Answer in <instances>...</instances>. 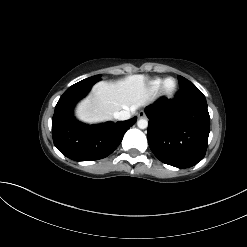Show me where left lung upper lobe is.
Returning <instances> with one entry per match:
<instances>
[{
  "label": "left lung upper lobe",
  "instance_id": "obj_1",
  "mask_svg": "<svg viewBox=\"0 0 247 247\" xmlns=\"http://www.w3.org/2000/svg\"><path fill=\"white\" fill-rule=\"evenodd\" d=\"M178 80H179V85H180L181 88L184 87V86L192 84L189 80H187L186 78H184L182 76H178Z\"/></svg>",
  "mask_w": 247,
  "mask_h": 247
}]
</instances>
